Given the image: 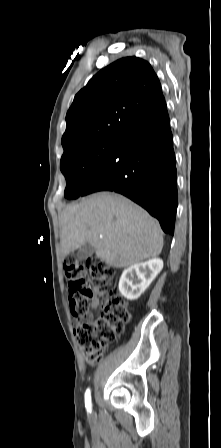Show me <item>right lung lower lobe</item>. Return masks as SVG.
<instances>
[{"instance_id": "1", "label": "right lung lower lobe", "mask_w": 221, "mask_h": 448, "mask_svg": "<svg viewBox=\"0 0 221 448\" xmlns=\"http://www.w3.org/2000/svg\"><path fill=\"white\" fill-rule=\"evenodd\" d=\"M123 194L174 234L177 180L173 137L166 103L129 125L87 184L82 196L97 191Z\"/></svg>"}]
</instances>
